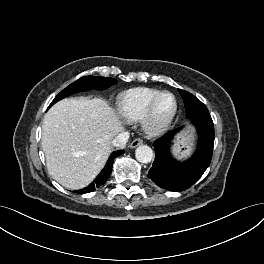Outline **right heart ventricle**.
Masks as SVG:
<instances>
[{"mask_svg": "<svg viewBox=\"0 0 264 264\" xmlns=\"http://www.w3.org/2000/svg\"><path fill=\"white\" fill-rule=\"evenodd\" d=\"M160 93V90L148 87H138L122 92L117 98L119 115L130 122L142 119L150 103Z\"/></svg>", "mask_w": 264, "mask_h": 264, "instance_id": "e07e8e85", "label": "right heart ventricle"}]
</instances>
